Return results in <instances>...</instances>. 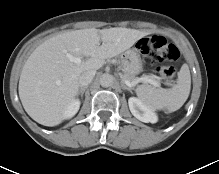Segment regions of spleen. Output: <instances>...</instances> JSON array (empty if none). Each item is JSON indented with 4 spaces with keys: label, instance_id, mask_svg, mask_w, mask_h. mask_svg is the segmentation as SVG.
Wrapping results in <instances>:
<instances>
[{
    "label": "spleen",
    "instance_id": "3e777b00",
    "mask_svg": "<svg viewBox=\"0 0 219 174\" xmlns=\"http://www.w3.org/2000/svg\"><path fill=\"white\" fill-rule=\"evenodd\" d=\"M191 87L189 67L184 64L179 73L177 84L171 89L155 88L151 85H139L136 88L138 98L153 110H178L187 100Z\"/></svg>",
    "mask_w": 219,
    "mask_h": 174
}]
</instances>
